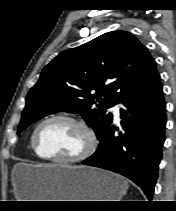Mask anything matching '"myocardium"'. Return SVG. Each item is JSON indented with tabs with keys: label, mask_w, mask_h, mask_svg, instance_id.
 I'll return each instance as SVG.
<instances>
[{
	"label": "myocardium",
	"mask_w": 176,
	"mask_h": 211,
	"mask_svg": "<svg viewBox=\"0 0 176 211\" xmlns=\"http://www.w3.org/2000/svg\"><path fill=\"white\" fill-rule=\"evenodd\" d=\"M55 120L69 121V122L79 126L84 131V133L86 135V146L80 154L73 156V157L62 158V157L44 156L40 153L38 144H37L38 132L45 124H47L51 121H55ZM97 144H98V139H97V135H96V132L94 131V129L83 119L78 118L73 115H69V114H54V115H51V116L43 119L41 122H39L37 124V126L35 127V129L32 133V136H31V146H32V149H33L34 153L36 154V156L42 160L57 162V163L81 162V161L85 160L86 158H88L89 156H91L95 152V150L97 148Z\"/></svg>",
	"instance_id": "1"
}]
</instances>
